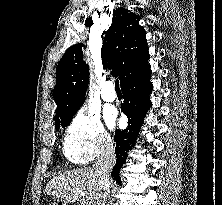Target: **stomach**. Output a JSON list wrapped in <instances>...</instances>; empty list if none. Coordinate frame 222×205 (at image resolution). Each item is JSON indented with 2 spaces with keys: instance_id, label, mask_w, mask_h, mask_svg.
Segmentation results:
<instances>
[{
  "instance_id": "1",
  "label": "stomach",
  "mask_w": 222,
  "mask_h": 205,
  "mask_svg": "<svg viewBox=\"0 0 222 205\" xmlns=\"http://www.w3.org/2000/svg\"><path fill=\"white\" fill-rule=\"evenodd\" d=\"M52 205H66V203H64L63 201H61L60 199L56 200Z\"/></svg>"
}]
</instances>
